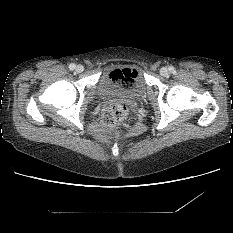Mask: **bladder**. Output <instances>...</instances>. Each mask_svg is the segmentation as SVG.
Instances as JSON below:
<instances>
[{"mask_svg": "<svg viewBox=\"0 0 233 233\" xmlns=\"http://www.w3.org/2000/svg\"><path fill=\"white\" fill-rule=\"evenodd\" d=\"M132 74V84L125 87L118 78L114 76L112 70H105L98 83V95L101 99H110L120 96H140L146 89V83L142 70L138 66H129Z\"/></svg>", "mask_w": 233, "mask_h": 233, "instance_id": "bladder-1", "label": "bladder"}]
</instances>
